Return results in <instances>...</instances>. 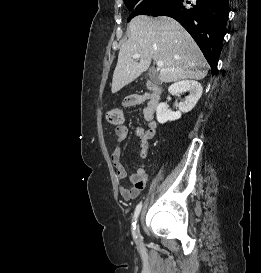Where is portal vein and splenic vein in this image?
Here are the masks:
<instances>
[{
	"label": "portal vein and splenic vein",
	"instance_id": "1",
	"mask_svg": "<svg viewBox=\"0 0 261 273\" xmlns=\"http://www.w3.org/2000/svg\"><path fill=\"white\" fill-rule=\"evenodd\" d=\"M140 56H141L140 54H135V55L133 56V58H134V59H137V58H140ZM157 66H158L159 69H163L164 64H163L162 61H158V62H157ZM163 70H166V71H173V70H171V69H163Z\"/></svg>",
	"mask_w": 261,
	"mask_h": 273
}]
</instances>
